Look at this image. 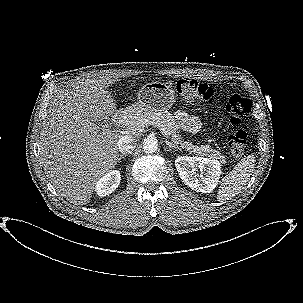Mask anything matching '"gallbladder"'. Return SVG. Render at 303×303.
Listing matches in <instances>:
<instances>
[{"label":"gallbladder","mask_w":303,"mask_h":303,"mask_svg":"<svg viewBox=\"0 0 303 303\" xmlns=\"http://www.w3.org/2000/svg\"><path fill=\"white\" fill-rule=\"evenodd\" d=\"M103 122H104V119H102V118H97V119L95 120V123H96L97 125H102Z\"/></svg>","instance_id":"gallbladder-1"}]
</instances>
